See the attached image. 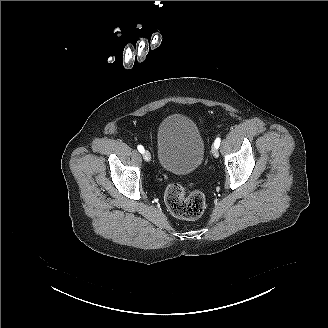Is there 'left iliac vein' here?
Returning <instances> with one entry per match:
<instances>
[{
  "label": "left iliac vein",
  "instance_id": "1",
  "mask_svg": "<svg viewBox=\"0 0 328 328\" xmlns=\"http://www.w3.org/2000/svg\"><path fill=\"white\" fill-rule=\"evenodd\" d=\"M211 151H212V154L214 155V157L217 158V157H218V148L213 147V148L211 149Z\"/></svg>",
  "mask_w": 328,
  "mask_h": 328
}]
</instances>
